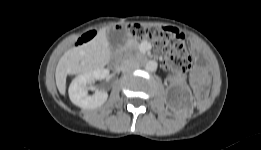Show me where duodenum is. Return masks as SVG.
<instances>
[{
	"label": "duodenum",
	"instance_id": "duodenum-1",
	"mask_svg": "<svg viewBox=\"0 0 261 150\" xmlns=\"http://www.w3.org/2000/svg\"><path fill=\"white\" fill-rule=\"evenodd\" d=\"M120 65V57L117 55L115 56L112 61H111V66L114 68V69H117Z\"/></svg>",
	"mask_w": 261,
	"mask_h": 150
}]
</instances>
